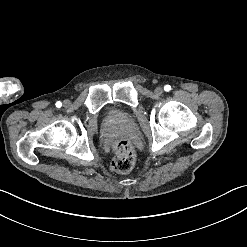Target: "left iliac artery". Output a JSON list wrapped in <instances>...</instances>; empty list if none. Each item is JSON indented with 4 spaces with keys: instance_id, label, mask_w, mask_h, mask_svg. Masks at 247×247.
<instances>
[{
    "instance_id": "left-iliac-artery-1",
    "label": "left iliac artery",
    "mask_w": 247,
    "mask_h": 247,
    "mask_svg": "<svg viewBox=\"0 0 247 247\" xmlns=\"http://www.w3.org/2000/svg\"><path fill=\"white\" fill-rule=\"evenodd\" d=\"M164 90L167 91V92L170 91L171 90V86L170 85L164 86Z\"/></svg>"
}]
</instances>
